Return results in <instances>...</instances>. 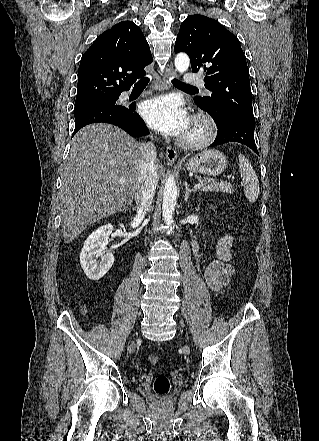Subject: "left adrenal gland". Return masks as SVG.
<instances>
[{
    "mask_svg": "<svg viewBox=\"0 0 319 441\" xmlns=\"http://www.w3.org/2000/svg\"><path fill=\"white\" fill-rule=\"evenodd\" d=\"M184 187H185L184 201L188 202L189 195L194 193L195 191H194V189L189 188L187 182H184ZM198 209H199V206L196 207V210H198Z\"/></svg>",
    "mask_w": 319,
    "mask_h": 441,
    "instance_id": "obj_1",
    "label": "left adrenal gland"
}]
</instances>
